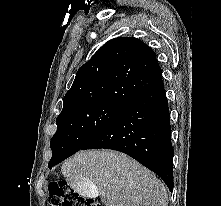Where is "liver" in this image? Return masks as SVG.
I'll return each mask as SVG.
<instances>
[{"instance_id":"obj_1","label":"liver","mask_w":221,"mask_h":206,"mask_svg":"<svg viewBox=\"0 0 221 206\" xmlns=\"http://www.w3.org/2000/svg\"><path fill=\"white\" fill-rule=\"evenodd\" d=\"M61 172L68 181L91 183L105 206H167L164 184L127 155L112 150L80 151Z\"/></svg>"}]
</instances>
